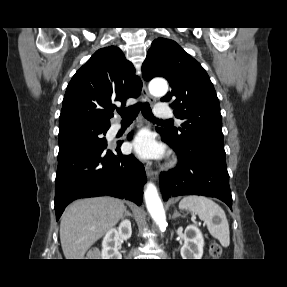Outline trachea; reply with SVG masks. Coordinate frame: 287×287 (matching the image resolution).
<instances>
[{
  "label": "trachea",
  "instance_id": "trachea-1",
  "mask_svg": "<svg viewBox=\"0 0 287 287\" xmlns=\"http://www.w3.org/2000/svg\"><path fill=\"white\" fill-rule=\"evenodd\" d=\"M140 109H142L143 116L150 121H153V122H172L171 120L163 121V120L156 119L152 114V110L150 108L149 103H147V102H145V103L138 102V103H136V104H134L128 108L119 109L118 113L121 115L123 120L131 121L137 117Z\"/></svg>",
  "mask_w": 287,
  "mask_h": 287
}]
</instances>
